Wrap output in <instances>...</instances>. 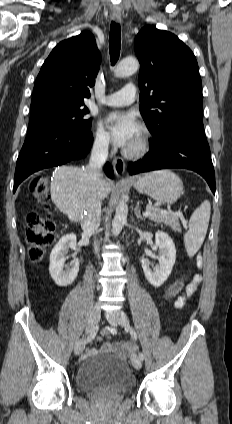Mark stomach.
I'll use <instances>...</instances> for the list:
<instances>
[{"mask_svg":"<svg viewBox=\"0 0 232 424\" xmlns=\"http://www.w3.org/2000/svg\"><path fill=\"white\" fill-rule=\"evenodd\" d=\"M133 187L162 204H173L183 194L181 179L170 170L147 173L133 181Z\"/></svg>","mask_w":232,"mask_h":424,"instance_id":"stomach-1","label":"stomach"}]
</instances>
